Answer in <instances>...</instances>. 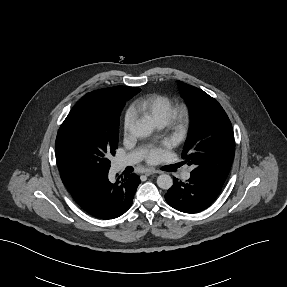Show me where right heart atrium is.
<instances>
[{
  "instance_id": "1",
  "label": "right heart atrium",
  "mask_w": 287,
  "mask_h": 287,
  "mask_svg": "<svg viewBox=\"0 0 287 287\" xmlns=\"http://www.w3.org/2000/svg\"><path fill=\"white\" fill-rule=\"evenodd\" d=\"M134 121H135V115H134L133 111L128 110L125 113L124 121H123V128H124V132L126 134L129 133V131L131 130V128L134 124Z\"/></svg>"
}]
</instances>
